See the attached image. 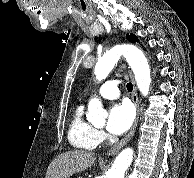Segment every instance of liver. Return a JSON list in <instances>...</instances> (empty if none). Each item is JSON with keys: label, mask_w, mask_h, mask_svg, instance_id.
<instances>
[{"label": "liver", "mask_w": 194, "mask_h": 178, "mask_svg": "<svg viewBox=\"0 0 194 178\" xmlns=\"http://www.w3.org/2000/svg\"><path fill=\"white\" fill-rule=\"evenodd\" d=\"M95 153L83 150L67 151L58 155L49 165L45 178H69L93 165Z\"/></svg>", "instance_id": "liver-1"}]
</instances>
